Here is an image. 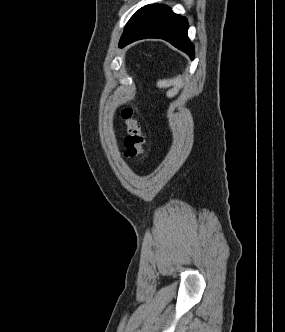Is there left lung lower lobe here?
<instances>
[{"label":"left lung lower lobe","instance_id":"0a47b994","mask_svg":"<svg viewBox=\"0 0 285 332\" xmlns=\"http://www.w3.org/2000/svg\"><path fill=\"white\" fill-rule=\"evenodd\" d=\"M188 23L164 5H147L125 28L119 47L143 39L161 38L194 58V46L187 36Z\"/></svg>","mask_w":285,"mask_h":332}]
</instances>
